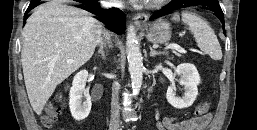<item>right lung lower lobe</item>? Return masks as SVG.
I'll return each instance as SVG.
<instances>
[{"label":"right lung lower lobe","mask_w":257,"mask_h":130,"mask_svg":"<svg viewBox=\"0 0 257 130\" xmlns=\"http://www.w3.org/2000/svg\"><path fill=\"white\" fill-rule=\"evenodd\" d=\"M39 4H41V3H39V1L32 0L26 11V14L30 10H32L33 8L38 6ZM88 6H89V8L86 10L97 15L98 16L97 19L99 21L103 22L104 24H106L108 29L116 32L117 34H121L125 31L126 18H125V14L122 11H120L118 9L103 10L99 6V3H96V2L94 4L88 5ZM26 14H25L24 18H27Z\"/></svg>","instance_id":"98d812e1"}]
</instances>
